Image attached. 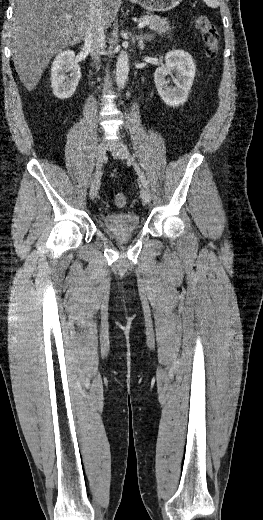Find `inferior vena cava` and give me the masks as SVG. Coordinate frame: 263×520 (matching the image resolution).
I'll list each match as a JSON object with an SVG mask.
<instances>
[{
    "instance_id": "602c4592",
    "label": "inferior vena cava",
    "mask_w": 263,
    "mask_h": 520,
    "mask_svg": "<svg viewBox=\"0 0 263 520\" xmlns=\"http://www.w3.org/2000/svg\"><path fill=\"white\" fill-rule=\"evenodd\" d=\"M100 3L101 0H92L84 37V47L91 53L95 61L99 60L105 45L104 21L99 8Z\"/></svg>"
}]
</instances>
